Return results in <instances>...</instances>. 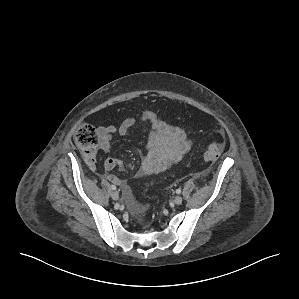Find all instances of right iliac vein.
I'll return each instance as SVG.
<instances>
[{
	"mask_svg": "<svg viewBox=\"0 0 299 299\" xmlns=\"http://www.w3.org/2000/svg\"><path fill=\"white\" fill-rule=\"evenodd\" d=\"M110 195L113 200H118V198H119V194L117 191H112Z\"/></svg>",
	"mask_w": 299,
	"mask_h": 299,
	"instance_id": "1",
	"label": "right iliac vein"
}]
</instances>
